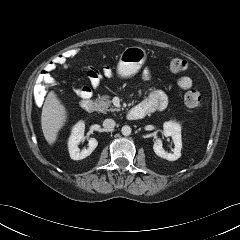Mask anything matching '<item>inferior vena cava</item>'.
I'll list each match as a JSON object with an SVG mask.
<instances>
[{"label":"inferior vena cava","mask_w":240,"mask_h":240,"mask_svg":"<svg viewBox=\"0 0 240 240\" xmlns=\"http://www.w3.org/2000/svg\"><path fill=\"white\" fill-rule=\"evenodd\" d=\"M103 127L105 129H112L115 127V121L113 119H105L103 121Z\"/></svg>","instance_id":"1"}]
</instances>
